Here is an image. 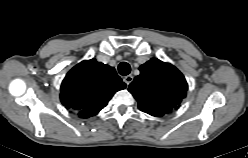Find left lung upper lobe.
Masks as SVG:
<instances>
[{
    "mask_svg": "<svg viewBox=\"0 0 248 158\" xmlns=\"http://www.w3.org/2000/svg\"><path fill=\"white\" fill-rule=\"evenodd\" d=\"M139 69L140 75L128 89L138 101V108L157 117L178 108L188 90L182 73L173 65L154 58Z\"/></svg>",
    "mask_w": 248,
    "mask_h": 158,
    "instance_id": "left-lung-upper-lobe-1",
    "label": "left lung upper lobe"
}]
</instances>
